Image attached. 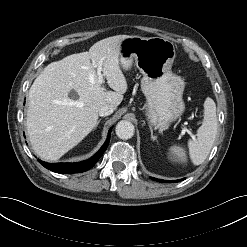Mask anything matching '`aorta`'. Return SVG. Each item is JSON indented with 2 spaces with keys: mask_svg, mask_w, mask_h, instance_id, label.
I'll return each instance as SVG.
<instances>
[{
  "mask_svg": "<svg viewBox=\"0 0 247 247\" xmlns=\"http://www.w3.org/2000/svg\"><path fill=\"white\" fill-rule=\"evenodd\" d=\"M134 125L130 121L121 120L116 125V135L120 139H130L134 135Z\"/></svg>",
  "mask_w": 247,
  "mask_h": 247,
  "instance_id": "762f6f07",
  "label": "aorta"
}]
</instances>
